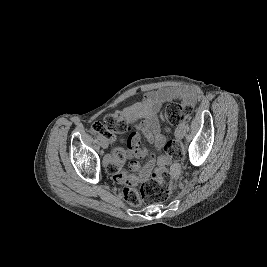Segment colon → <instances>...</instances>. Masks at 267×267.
<instances>
[{
    "label": "colon",
    "instance_id": "5ec220e1",
    "mask_svg": "<svg viewBox=\"0 0 267 267\" xmlns=\"http://www.w3.org/2000/svg\"><path fill=\"white\" fill-rule=\"evenodd\" d=\"M190 102L171 103L164 111V119L171 125H177L186 121L190 116ZM103 127L116 134H125L129 125L127 120L118 112H112L105 116ZM165 151L174 162H179L184 157V147L177 139L169 140L165 144ZM173 188V182L166 173L155 174L146 182L141 190L125 186L124 195L126 200L136 205L140 201L164 202L168 200Z\"/></svg>",
    "mask_w": 267,
    "mask_h": 267
}]
</instances>
